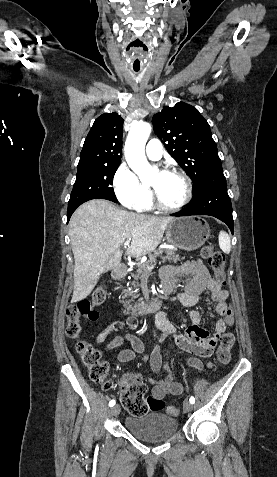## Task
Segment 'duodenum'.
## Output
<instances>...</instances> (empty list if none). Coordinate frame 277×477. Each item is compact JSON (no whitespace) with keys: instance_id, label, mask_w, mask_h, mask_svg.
Instances as JSON below:
<instances>
[{"instance_id":"1","label":"duodenum","mask_w":277,"mask_h":477,"mask_svg":"<svg viewBox=\"0 0 277 477\" xmlns=\"http://www.w3.org/2000/svg\"><path fill=\"white\" fill-rule=\"evenodd\" d=\"M127 274H128V270L124 266L117 267L113 272V276L117 281L123 280L127 276ZM161 305H162V301L160 299L153 298V299L143 303L142 305L136 307L132 311H129V310H126V309H123V308H120V311L125 316H133V315L142 316V315L153 313V312L159 310Z\"/></svg>"}]
</instances>
